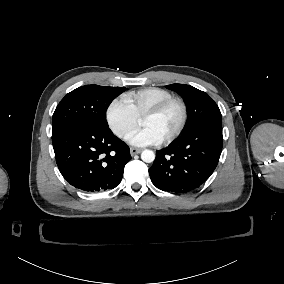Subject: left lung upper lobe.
I'll return each mask as SVG.
<instances>
[{
  "label": "left lung upper lobe",
  "instance_id": "left-lung-upper-lobe-1",
  "mask_svg": "<svg viewBox=\"0 0 284 284\" xmlns=\"http://www.w3.org/2000/svg\"><path fill=\"white\" fill-rule=\"evenodd\" d=\"M166 87L180 94L186 103L188 120L184 132L209 124L222 125L221 112L207 93L185 84Z\"/></svg>",
  "mask_w": 284,
  "mask_h": 284
}]
</instances>
